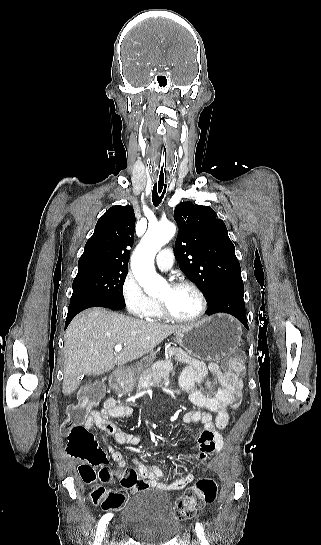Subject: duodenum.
Segmentation results:
<instances>
[{
	"mask_svg": "<svg viewBox=\"0 0 321 545\" xmlns=\"http://www.w3.org/2000/svg\"><path fill=\"white\" fill-rule=\"evenodd\" d=\"M124 378H125V375H124V373L122 371H116V372H114L112 374L110 381H111V384L115 388H117V387H119L121 385Z\"/></svg>",
	"mask_w": 321,
	"mask_h": 545,
	"instance_id": "obj_1",
	"label": "duodenum"
}]
</instances>
